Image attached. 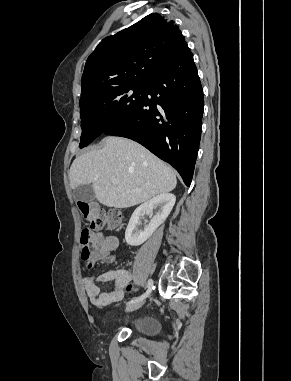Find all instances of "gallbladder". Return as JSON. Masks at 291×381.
<instances>
[{
	"instance_id": "obj_1",
	"label": "gallbladder",
	"mask_w": 291,
	"mask_h": 381,
	"mask_svg": "<svg viewBox=\"0 0 291 381\" xmlns=\"http://www.w3.org/2000/svg\"><path fill=\"white\" fill-rule=\"evenodd\" d=\"M73 196L79 202H91L95 199L92 185H81L73 190Z\"/></svg>"
}]
</instances>
